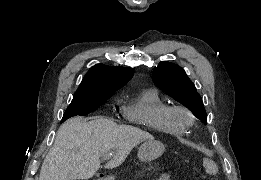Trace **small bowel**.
<instances>
[{"label": "small bowel", "instance_id": "obj_1", "mask_svg": "<svg viewBox=\"0 0 261 180\" xmlns=\"http://www.w3.org/2000/svg\"><path fill=\"white\" fill-rule=\"evenodd\" d=\"M169 179V176L168 174L166 173H163L161 176H160V180H168Z\"/></svg>", "mask_w": 261, "mask_h": 180}]
</instances>
